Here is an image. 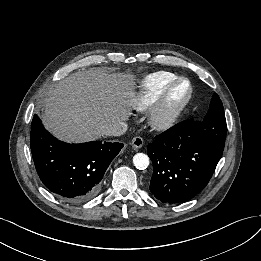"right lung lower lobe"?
Returning <instances> with one entry per match:
<instances>
[{"label": "right lung lower lobe", "instance_id": "98d812e1", "mask_svg": "<svg viewBox=\"0 0 261 261\" xmlns=\"http://www.w3.org/2000/svg\"><path fill=\"white\" fill-rule=\"evenodd\" d=\"M31 152L43 184L58 197L80 202L97 194L100 182L122 143L91 141L68 144L57 140L37 115L31 123Z\"/></svg>", "mask_w": 261, "mask_h": 261}]
</instances>
